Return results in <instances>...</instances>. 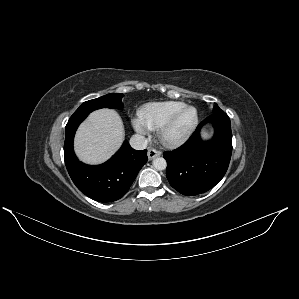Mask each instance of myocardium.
Returning a JSON list of instances; mask_svg holds the SVG:
<instances>
[{"mask_svg":"<svg viewBox=\"0 0 299 299\" xmlns=\"http://www.w3.org/2000/svg\"><path fill=\"white\" fill-rule=\"evenodd\" d=\"M193 109L195 111V119L192 125L183 133L179 135H173L172 129L177 122L178 118L181 116V114L188 110ZM199 124V111L195 106L192 105H185L176 112H174L160 127V137L161 140L170 146H177L185 143L194 133L197 126Z\"/></svg>","mask_w":299,"mask_h":299,"instance_id":"myocardium-1","label":"myocardium"}]
</instances>
